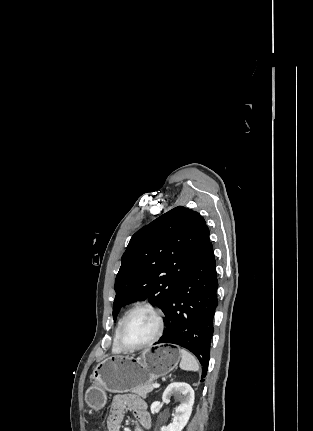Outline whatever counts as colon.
<instances>
[{"label":"colon","instance_id":"obj_1","mask_svg":"<svg viewBox=\"0 0 313 431\" xmlns=\"http://www.w3.org/2000/svg\"><path fill=\"white\" fill-rule=\"evenodd\" d=\"M90 431H99V430H97V429H91Z\"/></svg>","mask_w":313,"mask_h":431}]
</instances>
